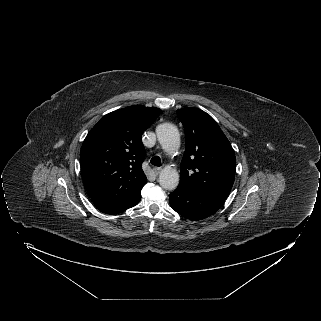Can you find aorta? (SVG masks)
Masks as SVG:
<instances>
[{"label":"aorta","instance_id":"1","mask_svg":"<svg viewBox=\"0 0 321 321\" xmlns=\"http://www.w3.org/2000/svg\"><path fill=\"white\" fill-rule=\"evenodd\" d=\"M156 134L163 150L168 154H174L180 147V135L177 127L171 123H163L157 126ZM159 184L166 190H174L179 184V173L170 166L164 167L159 175Z\"/></svg>","mask_w":321,"mask_h":321}]
</instances>
